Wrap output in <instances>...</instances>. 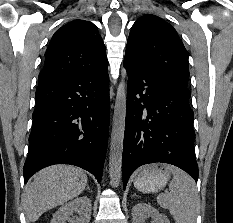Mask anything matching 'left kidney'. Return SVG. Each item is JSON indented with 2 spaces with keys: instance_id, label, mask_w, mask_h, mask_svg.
I'll list each match as a JSON object with an SVG mask.
<instances>
[{
  "instance_id": "left-kidney-1",
  "label": "left kidney",
  "mask_w": 233,
  "mask_h": 223,
  "mask_svg": "<svg viewBox=\"0 0 233 223\" xmlns=\"http://www.w3.org/2000/svg\"><path fill=\"white\" fill-rule=\"evenodd\" d=\"M147 217H153L152 223H170L165 213H159L151 203H136L132 207V223H145Z\"/></svg>"
}]
</instances>
